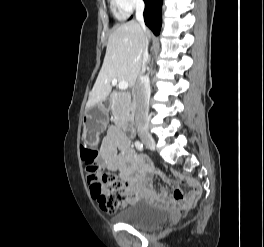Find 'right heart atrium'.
I'll use <instances>...</instances> for the list:
<instances>
[{"instance_id":"1","label":"right heart atrium","mask_w":264,"mask_h":247,"mask_svg":"<svg viewBox=\"0 0 264 247\" xmlns=\"http://www.w3.org/2000/svg\"><path fill=\"white\" fill-rule=\"evenodd\" d=\"M111 3L120 17H126L136 7L142 5L143 0H111Z\"/></svg>"}]
</instances>
